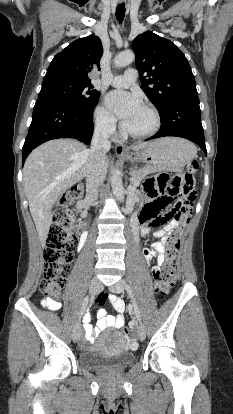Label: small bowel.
<instances>
[{
  "instance_id": "1",
  "label": "small bowel",
  "mask_w": 233,
  "mask_h": 414,
  "mask_svg": "<svg viewBox=\"0 0 233 414\" xmlns=\"http://www.w3.org/2000/svg\"><path fill=\"white\" fill-rule=\"evenodd\" d=\"M146 193V192H145ZM147 197L149 199V203L142 209L138 216V221L140 224V233L143 237H147L151 234L152 228L161 226L160 229L153 232V236L155 238H161L162 240L160 242H157L153 247L147 248L143 251V255L147 261H150L153 258H157V266L152 268V275L155 279H158V274L160 271V266L164 264L166 258L164 256V242H165V236L172 232L173 230L177 229L179 226V222L173 217H171L168 213L162 214L158 217H154L149 212V205L154 201V198L147 194ZM86 239V235L83 234L81 238V247L84 244V241ZM108 301L112 305L113 309L116 312V315H110L108 312L101 308L97 312V324L95 327H92L90 325V319L91 316L89 313H86L84 315V331H85V340L87 342L92 343L96 337V335L109 327L113 328H121L124 323V311H125V303L124 301L119 298L116 295L113 294H103L101 293L97 299L96 302L99 305L105 304V302ZM42 305L46 308H48L51 311H58L61 308V304L58 301H55L50 298H46L42 300ZM127 310L132 313L134 310L133 304L127 305Z\"/></svg>"
}]
</instances>
